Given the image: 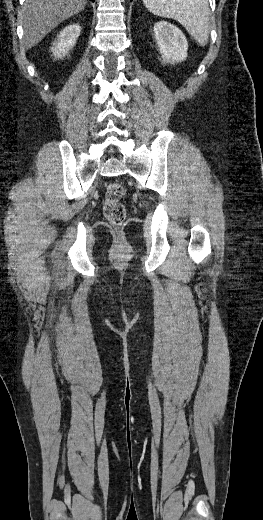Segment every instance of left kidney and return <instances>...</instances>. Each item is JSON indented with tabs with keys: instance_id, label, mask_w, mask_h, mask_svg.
<instances>
[{
	"instance_id": "left-kidney-1",
	"label": "left kidney",
	"mask_w": 263,
	"mask_h": 520,
	"mask_svg": "<svg viewBox=\"0 0 263 520\" xmlns=\"http://www.w3.org/2000/svg\"><path fill=\"white\" fill-rule=\"evenodd\" d=\"M155 39L164 63L174 64L187 57L188 43L180 29L166 21L154 25Z\"/></svg>"
}]
</instances>
